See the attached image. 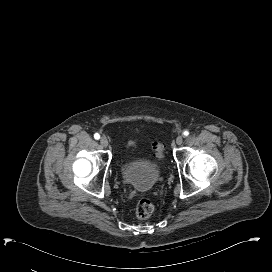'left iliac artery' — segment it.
I'll return each mask as SVG.
<instances>
[{"mask_svg":"<svg viewBox=\"0 0 272 272\" xmlns=\"http://www.w3.org/2000/svg\"><path fill=\"white\" fill-rule=\"evenodd\" d=\"M183 135H184V136H188V135H189V132H188V131H184V132H183Z\"/></svg>","mask_w":272,"mask_h":272,"instance_id":"44dca946","label":"left iliac artery"}]
</instances>
